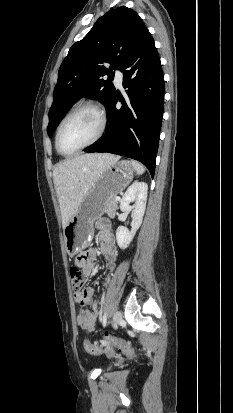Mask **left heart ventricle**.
Segmentation results:
<instances>
[{
	"instance_id": "1",
	"label": "left heart ventricle",
	"mask_w": 233,
	"mask_h": 413,
	"mask_svg": "<svg viewBox=\"0 0 233 413\" xmlns=\"http://www.w3.org/2000/svg\"><path fill=\"white\" fill-rule=\"evenodd\" d=\"M100 120L97 113L84 109L75 114L64 126L60 146L64 152H72L91 141L97 134Z\"/></svg>"
}]
</instances>
